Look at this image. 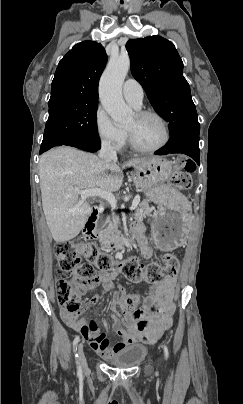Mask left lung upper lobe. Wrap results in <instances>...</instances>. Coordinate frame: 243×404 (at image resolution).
<instances>
[{
  "label": "left lung upper lobe",
  "mask_w": 243,
  "mask_h": 404,
  "mask_svg": "<svg viewBox=\"0 0 243 404\" xmlns=\"http://www.w3.org/2000/svg\"><path fill=\"white\" fill-rule=\"evenodd\" d=\"M131 72L144 88L155 111L167 122L171 137L182 131L200 132L197 111L184 78L175 46L161 36L126 43Z\"/></svg>",
  "instance_id": "obj_1"
}]
</instances>
